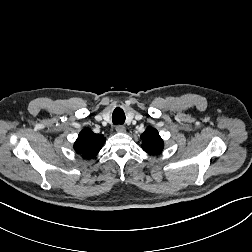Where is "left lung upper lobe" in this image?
I'll use <instances>...</instances> for the list:
<instances>
[{"mask_svg":"<svg viewBox=\"0 0 252 252\" xmlns=\"http://www.w3.org/2000/svg\"><path fill=\"white\" fill-rule=\"evenodd\" d=\"M141 139L143 140L142 148L145 152L156 155L163 150V140L155 128L148 127L145 132L141 134Z\"/></svg>","mask_w":252,"mask_h":252,"instance_id":"5c2ea615","label":"left lung upper lobe"}]
</instances>
